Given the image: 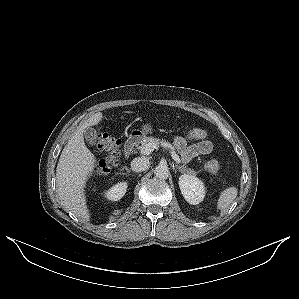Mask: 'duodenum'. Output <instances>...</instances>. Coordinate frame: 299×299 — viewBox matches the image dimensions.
<instances>
[{"instance_id": "obj_1", "label": "duodenum", "mask_w": 299, "mask_h": 299, "mask_svg": "<svg viewBox=\"0 0 299 299\" xmlns=\"http://www.w3.org/2000/svg\"><path fill=\"white\" fill-rule=\"evenodd\" d=\"M135 145H136V139L134 137H130L127 139L124 145V152L127 157H129L132 154Z\"/></svg>"}]
</instances>
